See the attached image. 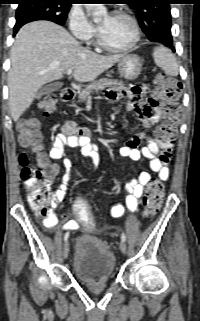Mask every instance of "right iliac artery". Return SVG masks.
Segmentation results:
<instances>
[{"label":"right iliac artery","mask_w":200,"mask_h":321,"mask_svg":"<svg viewBox=\"0 0 200 321\" xmlns=\"http://www.w3.org/2000/svg\"><path fill=\"white\" fill-rule=\"evenodd\" d=\"M68 237H69V233L67 232L64 236V241H67Z\"/></svg>","instance_id":"obj_1"}]
</instances>
